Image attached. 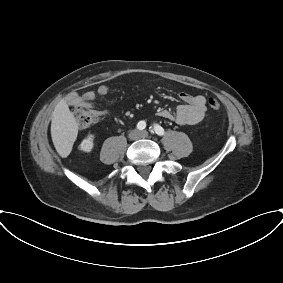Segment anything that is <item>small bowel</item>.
<instances>
[{"label": "small bowel", "instance_id": "small-bowel-1", "mask_svg": "<svg viewBox=\"0 0 283 283\" xmlns=\"http://www.w3.org/2000/svg\"><path fill=\"white\" fill-rule=\"evenodd\" d=\"M109 92L107 85H100L96 91L87 90L81 95H71L70 100L75 105L92 107L93 101L97 96H106ZM183 104H180L176 112L163 109L158 112V115L167 120H172L181 125L198 124L206 113V99L202 95H192L182 92L179 94ZM98 114L102 117H108L110 112L106 109L101 110Z\"/></svg>", "mask_w": 283, "mask_h": 283}]
</instances>
